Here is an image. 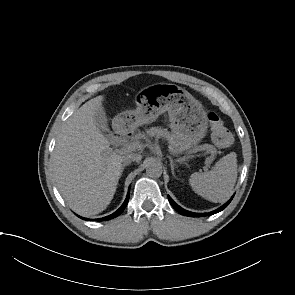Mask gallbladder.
<instances>
[{
    "instance_id": "1",
    "label": "gallbladder",
    "mask_w": 295,
    "mask_h": 295,
    "mask_svg": "<svg viewBox=\"0 0 295 295\" xmlns=\"http://www.w3.org/2000/svg\"><path fill=\"white\" fill-rule=\"evenodd\" d=\"M95 124L99 131L107 138L109 142H111L113 140V135L108 129V119L102 106L95 115Z\"/></svg>"
}]
</instances>
